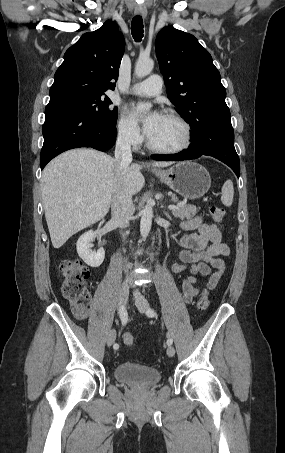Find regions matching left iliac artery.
Wrapping results in <instances>:
<instances>
[{
	"instance_id": "1",
	"label": "left iliac artery",
	"mask_w": 285,
	"mask_h": 453,
	"mask_svg": "<svg viewBox=\"0 0 285 453\" xmlns=\"http://www.w3.org/2000/svg\"><path fill=\"white\" fill-rule=\"evenodd\" d=\"M146 314H147L148 317H154L156 315L155 311L153 309H151V308L147 309ZM172 342H173L172 339L169 338L167 340V345L168 346L172 345Z\"/></svg>"
}]
</instances>
